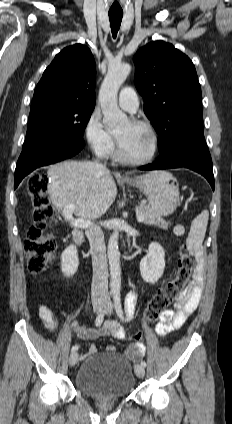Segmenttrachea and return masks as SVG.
<instances>
[{
    "instance_id": "trachea-1",
    "label": "trachea",
    "mask_w": 232,
    "mask_h": 424,
    "mask_svg": "<svg viewBox=\"0 0 232 424\" xmlns=\"http://www.w3.org/2000/svg\"><path fill=\"white\" fill-rule=\"evenodd\" d=\"M122 17L123 12H109L110 26L114 38L120 28Z\"/></svg>"
}]
</instances>
